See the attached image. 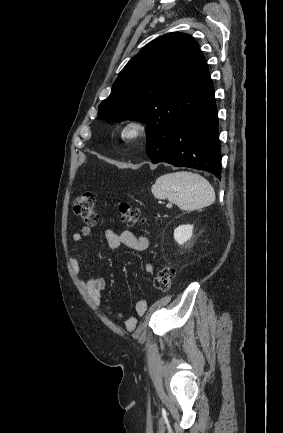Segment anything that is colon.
Wrapping results in <instances>:
<instances>
[{"instance_id":"obj_1","label":"colon","mask_w":283,"mask_h":433,"mask_svg":"<svg viewBox=\"0 0 283 433\" xmlns=\"http://www.w3.org/2000/svg\"><path fill=\"white\" fill-rule=\"evenodd\" d=\"M73 210L76 216L89 225H95L98 221L95 198L92 192L88 190L81 191L76 197ZM117 210L120 219L128 226H137L143 222L140 210L127 202L119 203ZM174 277L175 269L166 265L158 271L154 279V286L159 290L166 291L171 286Z\"/></svg>"}]
</instances>
